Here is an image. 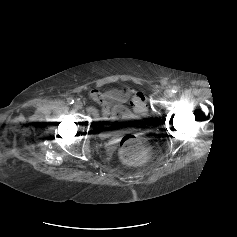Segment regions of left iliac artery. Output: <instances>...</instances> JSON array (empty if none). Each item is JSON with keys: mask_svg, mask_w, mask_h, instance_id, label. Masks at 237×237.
I'll list each match as a JSON object with an SVG mask.
<instances>
[{"mask_svg": "<svg viewBox=\"0 0 237 237\" xmlns=\"http://www.w3.org/2000/svg\"><path fill=\"white\" fill-rule=\"evenodd\" d=\"M178 90H179V88L177 86H173V88H172V92L173 93H177Z\"/></svg>", "mask_w": 237, "mask_h": 237, "instance_id": "44dca946", "label": "left iliac artery"}]
</instances>
